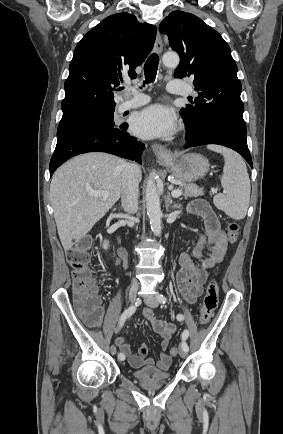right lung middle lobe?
Masks as SVG:
<instances>
[{
  "label": "right lung middle lobe",
  "mask_w": 283,
  "mask_h": 434,
  "mask_svg": "<svg viewBox=\"0 0 283 434\" xmlns=\"http://www.w3.org/2000/svg\"><path fill=\"white\" fill-rule=\"evenodd\" d=\"M114 110L115 109L95 114L62 118L57 130V139L73 132L92 127H124L126 124L114 123Z\"/></svg>",
  "instance_id": "dd1d6c3e"
}]
</instances>
